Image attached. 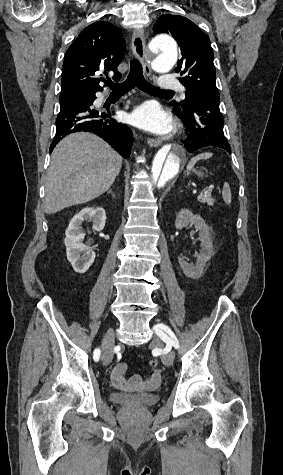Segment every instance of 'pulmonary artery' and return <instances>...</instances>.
I'll list each match as a JSON object with an SVG mask.
<instances>
[{
    "label": "pulmonary artery",
    "instance_id": "1",
    "mask_svg": "<svg viewBox=\"0 0 283 475\" xmlns=\"http://www.w3.org/2000/svg\"><path fill=\"white\" fill-rule=\"evenodd\" d=\"M155 86L157 89H175L177 86L178 88H180L179 89L180 95L186 94V89L179 83L176 85L175 80H157L155 83Z\"/></svg>",
    "mask_w": 283,
    "mask_h": 475
}]
</instances>
